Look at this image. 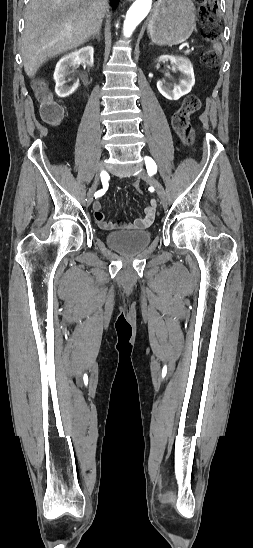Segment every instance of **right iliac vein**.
I'll return each mask as SVG.
<instances>
[{"label": "right iliac vein", "instance_id": "right-iliac-vein-1", "mask_svg": "<svg viewBox=\"0 0 253 548\" xmlns=\"http://www.w3.org/2000/svg\"><path fill=\"white\" fill-rule=\"evenodd\" d=\"M103 171H104V162L101 161L97 166V174H96L95 180H94V182H93V184H92V186L89 189L88 194H87L88 204H91L92 201H93V197H94L95 191L97 190V187L100 183V176H101V173Z\"/></svg>", "mask_w": 253, "mask_h": 548}]
</instances>
